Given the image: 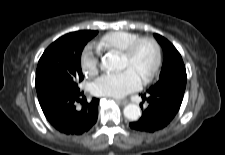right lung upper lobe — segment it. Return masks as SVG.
Masks as SVG:
<instances>
[{
  "label": "right lung upper lobe",
  "instance_id": "right-lung-upper-lobe-1",
  "mask_svg": "<svg viewBox=\"0 0 225 155\" xmlns=\"http://www.w3.org/2000/svg\"><path fill=\"white\" fill-rule=\"evenodd\" d=\"M97 31H78L66 34V37H77V38H86V37H94Z\"/></svg>",
  "mask_w": 225,
  "mask_h": 155
}]
</instances>
